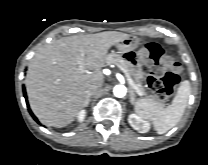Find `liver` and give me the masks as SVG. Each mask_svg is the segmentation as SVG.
<instances>
[{
  "mask_svg": "<svg viewBox=\"0 0 208 165\" xmlns=\"http://www.w3.org/2000/svg\"><path fill=\"white\" fill-rule=\"evenodd\" d=\"M129 35L106 31L56 40L31 60L25 80L30 107L47 126L70 124L85 107L89 86L102 83L111 46Z\"/></svg>",
  "mask_w": 208,
  "mask_h": 165,
  "instance_id": "obj_1",
  "label": "liver"
}]
</instances>
